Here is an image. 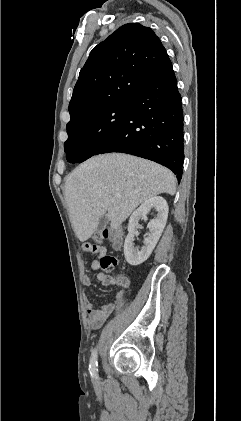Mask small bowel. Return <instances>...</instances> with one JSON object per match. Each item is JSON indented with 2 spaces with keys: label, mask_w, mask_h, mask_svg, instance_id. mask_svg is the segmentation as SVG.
<instances>
[{
  "label": "small bowel",
  "mask_w": 241,
  "mask_h": 421,
  "mask_svg": "<svg viewBox=\"0 0 241 421\" xmlns=\"http://www.w3.org/2000/svg\"><path fill=\"white\" fill-rule=\"evenodd\" d=\"M94 258L91 260L90 266L93 270H97L100 267V260L102 257L107 255V250L103 246L97 247V250L94 253H89ZM96 257L100 258L97 259ZM97 279L103 283V284H116L118 282L107 280L104 274L99 273L97 276ZM123 286H126L128 282L124 280L121 282ZM92 285V279L90 276H85L83 278V286L84 287H90ZM124 298V291H119L117 293L116 299L114 302L107 303L102 305L100 308H95L93 304L90 302L87 294L83 292L82 294V302L83 305L86 307V316L87 321L91 329L96 330L102 327V325L105 323V321L108 319V317L111 315V313L114 311L116 306L123 300Z\"/></svg>",
  "instance_id": "obj_1"
}]
</instances>
